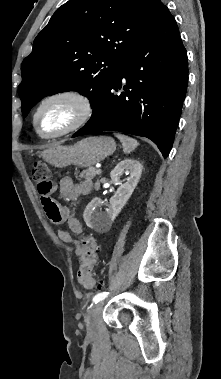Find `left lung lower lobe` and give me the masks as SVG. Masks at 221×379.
I'll use <instances>...</instances> for the list:
<instances>
[{
	"label": "left lung lower lobe",
	"mask_w": 221,
	"mask_h": 379,
	"mask_svg": "<svg viewBox=\"0 0 221 379\" xmlns=\"http://www.w3.org/2000/svg\"><path fill=\"white\" fill-rule=\"evenodd\" d=\"M187 84L186 50L176 21L164 6L152 30L105 83L90 120L72 137L106 130L144 136L166 158L173 144ZM121 88L125 92L119 93Z\"/></svg>",
	"instance_id": "0a47b994"
}]
</instances>
